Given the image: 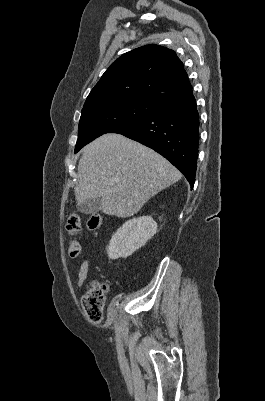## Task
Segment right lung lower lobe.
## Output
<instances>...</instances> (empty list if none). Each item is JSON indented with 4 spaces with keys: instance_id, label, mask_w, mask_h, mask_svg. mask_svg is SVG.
Listing matches in <instances>:
<instances>
[{
    "instance_id": "1",
    "label": "right lung lower lobe",
    "mask_w": 265,
    "mask_h": 401,
    "mask_svg": "<svg viewBox=\"0 0 265 401\" xmlns=\"http://www.w3.org/2000/svg\"><path fill=\"white\" fill-rule=\"evenodd\" d=\"M152 148L194 186L199 144V113L193 91L161 103L152 114L114 130Z\"/></svg>"
}]
</instances>
